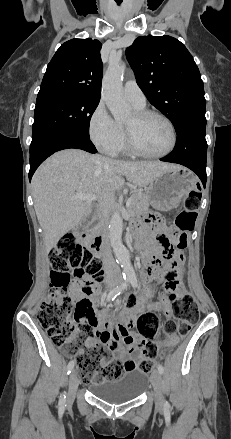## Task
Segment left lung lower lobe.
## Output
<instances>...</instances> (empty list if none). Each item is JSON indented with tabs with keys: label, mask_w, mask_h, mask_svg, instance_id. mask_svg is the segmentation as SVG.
Wrapping results in <instances>:
<instances>
[{
	"label": "left lung lower lobe",
	"mask_w": 231,
	"mask_h": 439,
	"mask_svg": "<svg viewBox=\"0 0 231 439\" xmlns=\"http://www.w3.org/2000/svg\"><path fill=\"white\" fill-rule=\"evenodd\" d=\"M206 119L193 120L182 126L177 133V141L174 150L166 157L160 159L184 165L195 172L201 179L203 186L206 185V155L207 142Z\"/></svg>",
	"instance_id": "0a47b994"
}]
</instances>
